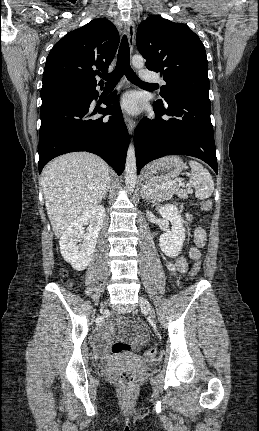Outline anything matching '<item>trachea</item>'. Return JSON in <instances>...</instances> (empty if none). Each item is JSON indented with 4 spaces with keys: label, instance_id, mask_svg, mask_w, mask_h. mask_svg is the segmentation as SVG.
I'll return each mask as SVG.
<instances>
[{
    "label": "trachea",
    "instance_id": "1",
    "mask_svg": "<svg viewBox=\"0 0 259 431\" xmlns=\"http://www.w3.org/2000/svg\"><path fill=\"white\" fill-rule=\"evenodd\" d=\"M123 75H125L127 79L134 84L153 85L141 81L132 70L130 66V48L126 35L123 36L119 47L115 69L109 74H102L101 77L106 80L108 84H116Z\"/></svg>",
    "mask_w": 259,
    "mask_h": 431
}]
</instances>
